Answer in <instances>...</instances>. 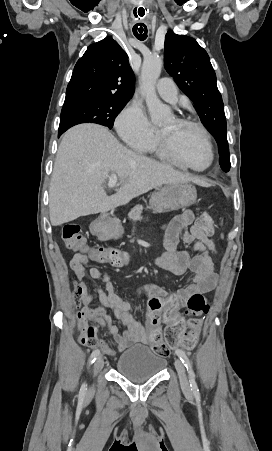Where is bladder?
Wrapping results in <instances>:
<instances>
[{"label": "bladder", "instance_id": "bladder-1", "mask_svg": "<svg viewBox=\"0 0 272 451\" xmlns=\"http://www.w3.org/2000/svg\"><path fill=\"white\" fill-rule=\"evenodd\" d=\"M166 364V358L148 346L133 345L117 359L116 371L133 383L143 384L147 378L160 374Z\"/></svg>", "mask_w": 272, "mask_h": 451}]
</instances>
